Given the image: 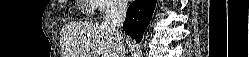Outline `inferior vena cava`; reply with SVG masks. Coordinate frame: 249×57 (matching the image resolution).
I'll return each mask as SVG.
<instances>
[{
  "label": "inferior vena cava",
  "instance_id": "602c4592",
  "mask_svg": "<svg viewBox=\"0 0 249 57\" xmlns=\"http://www.w3.org/2000/svg\"><path fill=\"white\" fill-rule=\"evenodd\" d=\"M127 3L123 0H116L112 7L105 12L102 25L119 38V49L122 57L125 55L123 39L118 30L122 27L126 17Z\"/></svg>",
  "mask_w": 249,
  "mask_h": 57
}]
</instances>
